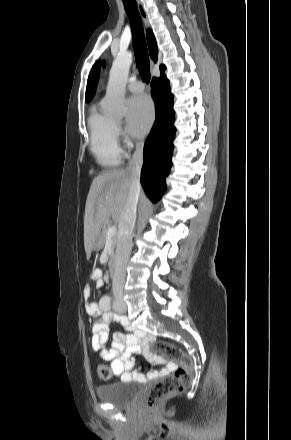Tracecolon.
<instances>
[{
  "label": "colon",
  "mask_w": 291,
  "mask_h": 440,
  "mask_svg": "<svg viewBox=\"0 0 291 440\" xmlns=\"http://www.w3.org/2000/svg\"><path fill=\"white\" fill-rule=\"evenodd\" d=\"M148 353L152 357L175 360L179 368L163 380L154 383L145 396V404L156 408L166 398L187 388L193 379V362L191 358L172 343L154 341L149 345ZM112 369L108 364L97 367L96 375L100 381H108L112 377Z\"/></svg>",
  "instance_id": "1"
}]
</instances>
